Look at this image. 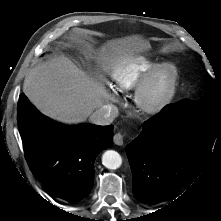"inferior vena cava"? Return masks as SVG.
<instances>
[{"instance_id": "inferior-vena-cava-1", "label": "inferior vena cava", "mask_w": 221, "mask_h": 221, "mask_svg": "<svg viewBox=\"0 0 221 221\" xmlns=\"http://www.w3.org/2000/svg\"><path fill=\"white\" fill-rule=\"evenodd\" d=\"M118 114V108L115 105L107 104L97 109L90 116V121L95 125H109Z\"/></svg>"}]
</instances>
